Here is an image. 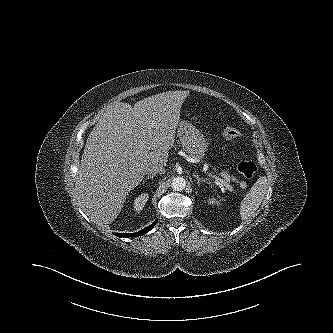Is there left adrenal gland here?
<instances>
[{
    "label": "left adrenal gland",
    "mask_w": 333,
    "mask_h": 333,
    "mask_svg": "<svg viewBox=\"0 0 333 333\" xmlns=\"http://www.w3.org/2000/svg\"><path fill=\"white\" fill-rule=\"evenodd\" d=\"M193 176L195 177V179L197 180V184L200 185V182H204V183H207L205 179L199 177L198 175L196 174H193Z\"/></svg>",
    "instance_id": "left-adrenal-gland-1"
}]
</instances>
